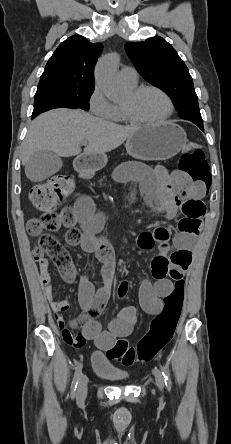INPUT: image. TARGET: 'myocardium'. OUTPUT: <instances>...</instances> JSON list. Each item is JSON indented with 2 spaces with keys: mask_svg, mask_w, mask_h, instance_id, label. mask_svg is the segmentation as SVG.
Returning <instances> with one entry per match:
<instances>
[{
  "mask_svg": "<svg viewBox=\"0 0 231 444\" xmlns=\"http://www.w3.org/2000/svg\"><path fill=\"white\" fill-rule=\"evenodd\" d=\"M149 90L158 92L166 99V101L168 103V112L163 117H161L157 120H143V119L138 118L134 114L132 108L129 105H122L125 116L129 122L134 123V124H141V125H157V124H161V123L169 120L172 117V115L174 114L175 105H174L172 98L165 90H163L162 88H160L158 86H155V85L138 86V87L131 89L129 94L132 99H135L141 93H143L145 91H149Z\"/></svg>",
  "mask_w": 231,
  "mask_h": 444,
  "instance_id": "myocardium-1",
  "label": "myocardium"
}]
</instances>
